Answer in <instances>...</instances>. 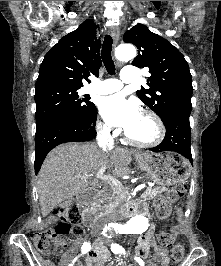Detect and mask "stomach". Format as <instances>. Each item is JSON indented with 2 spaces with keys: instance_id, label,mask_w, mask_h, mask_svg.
I'll use <instances>...</instances> for the list:
<instances>
[{
  "instance_id": "0dacf381",
  "label": "stomach",
  "mask_w": 221,
  "mask_h": 266,
  "mask_svg": "<svg viewBox=\"0 0 221 266\" xmlns=\"http://www.w3.org/2000/svg\"><path fill=\"white\" fill-rule=\"evenodd\" d=\"M136 160L139 167L150 173L152 179L160 185L181 184L190 176V164L175 153H144Z\"/></svg>"
}]
</instances>
